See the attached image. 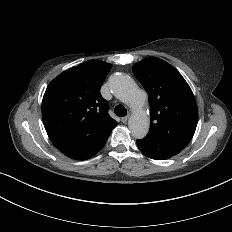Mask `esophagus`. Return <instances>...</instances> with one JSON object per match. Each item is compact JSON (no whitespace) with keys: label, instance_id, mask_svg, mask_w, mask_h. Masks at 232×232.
I'll return each mask as SVG.
<instances>
[{"label":"esophagus","instance_id":"1","mask_svg":"<svg viewBox=\"0 0 232 232\" xmlns=\"http://www.w3.org/2000/svg\"><path fill=\"white\" fill-rule=\"evenodd\" d=\"M129 119V116H125L121 118L122 123L126 124Z\"/></svg>","mask_w":232,"mask_h":232}]
</instances>
